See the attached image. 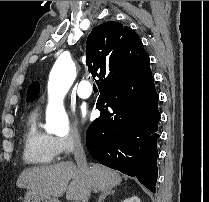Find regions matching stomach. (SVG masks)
<instances>
[{"mask_svg":"<svg viewBox=\"0 0 209 202\" xmlns=\"http://www.w3.org/2000/svg\"><path fill=\"white\" fill-rule=\"evenodd\" d=\"M24 202H60L57 198L48 196L36 190L28 189L24 195Z\"/></svg>","mask_w":209,"mask_h":202,"instance_id":"0dacf381","label":"stomach"}]
</instances>
